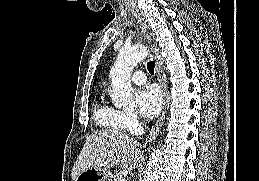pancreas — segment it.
Returning <instances> with one entry per match:
<instances>
[{
	"label": "pancreas",
	"instance_id": "cf45deb5",
	"mask_svg": "<svg viewBox=\"0 0 259 181\" xmlns=\"http://www.w3.org/2000/svg\"><path fill=\"white\" fill-rule=\"evenodd\" d=\"M122 177H123V172L122 171L116 172L114 174V176L112 177L111 181H121Z\"/></svg>",
	"mask_w": 259,
	"mask_h": 181
}]
</instances>
